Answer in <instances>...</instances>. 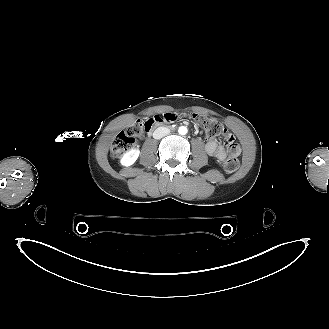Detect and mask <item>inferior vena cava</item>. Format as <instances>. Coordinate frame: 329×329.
I'll return each mask as SVG.
<instances>
[{"label": "inferior vena cava", "instance_id": "602c4592", "mask_svg": "<svg viewBox=\"0 0 329 329\" xmlns=\"http://www.w3.org/2000/svg\"><path fill=\"white\" fill-rule=\"evenodd\" d=\"M170 133V130L166 127H159L153 132V138L154 139H161L164 136L168 135Z\"/></svg>", "mask_w": 329, "mask_h": 329}]
</instances>
